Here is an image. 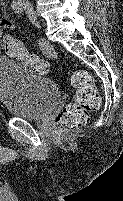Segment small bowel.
I'll return each mask as SVG.
<instances>
[{
    "label": "small bowel",
    "mask_w": 123,
    "mask_h": 201,
    "mask_svg": "<svg viewBox=\"0 0 123 201\" xmlns=\"http://www.w3.org/2000/svg\"><path fill=\"white\" fill-rule=\"evenodd\" d=\"M14 24L11 19L4 17L0 20V53L3 51L2 42L5 36V30H13Z\"/></svg>",
    "instance_id": "small-bowel-1"
}]
</instances>
